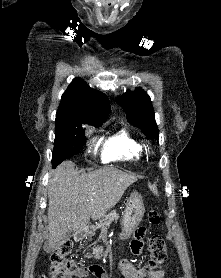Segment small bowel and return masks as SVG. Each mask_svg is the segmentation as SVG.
<instances>
[{
    "instance_id": "1",
    "label": "small bowel",
    "mask_w": 221,
    "mask_h": 278,
    "mask_svg": "<svg viewBox=\"0 0 221 278\" xmlns=\"http://www.w3.org/2000/svg\"><path fill=\"white\" fill-rule=\"evenodd\" d=\"M143 233L138 230L134 234L131 242V250L134 254H140L143 248ZM117 271L124 278H162L164 270L146 271L145 269L137 268L129 260H122L117 265ZM89 273H92L96 278H109L108 274L98 265H92L88 268H76L68 278H85Z\"/></svg>"
}]
</instances>
